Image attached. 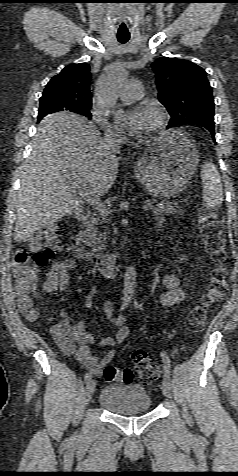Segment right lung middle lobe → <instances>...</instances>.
<instances>
[{
	"label": "right lung middle lobe",
	"instance_id": "obj_1",
	"mask_svg": "<svg viewBox=\"0 0 238 476\" xmlns=\"http://www.w3.org/2000/svg\"><path fill=\"white\" fill-rule=\"evenodd\" d=\"M89 110H90V108H86V109L80 110L79 112H76V113H79V114H82V115H84L88 118H91V113H90ZM59 111H66V110L62 109L60 106H58L55 103L40 102L38 119L40 120L41 118H43L47 114H51V113H55V112H59Z\"/></svg>",
	"mask_w": 238,
	"mask_h": 476
}]
</instances>
